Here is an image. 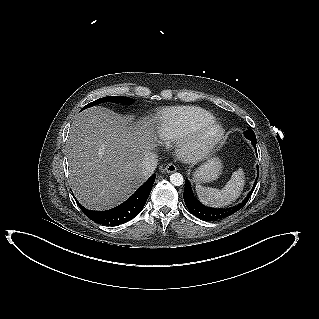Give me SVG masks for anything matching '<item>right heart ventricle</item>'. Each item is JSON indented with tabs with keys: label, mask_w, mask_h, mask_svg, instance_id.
Returning a JSON list of instances; mask_svg holds the SVG:
<instances>
[{
	"label": "right heart ventricle",
	"mask_w": 319,
	"mask_h": 319,
	"mask_svg": "<svg viewBox=\"0 0 319 319\" xmlns=\"http://www.w3.org/2000/svg\"><path fill=\"white\" fill-rule=\"evenodd\" d=\"M214 119L208 110L195 106L169 107L159 111L155 119V130L164 141L182 139L198 125Z\"/></svg>",
	"instance_id": "obj_1"
}]
</instances>
